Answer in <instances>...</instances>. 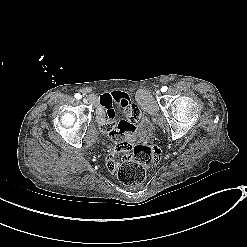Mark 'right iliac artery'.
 Listing matches in <instances>:
<instances>
[{
    "label": "right iliac artery",
    "instance_id": "right-iliac-artery-1",
    "mask_svg": "<svg viewBox=\"0 0 247 247\" xmlns=\"http://www.w3.org/2000/svg\"><path fill=\"white\" fill-rule=\"evenodd\" d=\"M74 96H75L76 99H81L82 98V96L79 93H76Z\"/></svg>",
    "mask_w": 247,
    "mask_h": 247
}]
</instances>
